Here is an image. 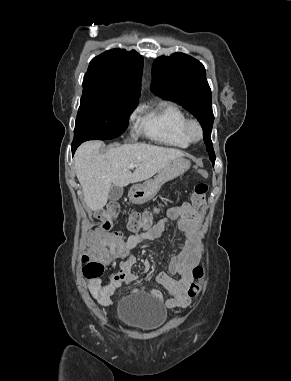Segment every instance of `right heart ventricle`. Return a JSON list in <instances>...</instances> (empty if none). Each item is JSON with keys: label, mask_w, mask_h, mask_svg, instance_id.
Returning a JSON list of instances; mask_svg holds the SVG:
<instances>
[{"label": "right heart ventricle", "mask_w": 291, "mask_h": 381, "mask_svg": "<svg viewBox=\"0 0 291 381\" xmlns=\"http://www.w3.org/2000/svg\"><path fill=\"white\" fill-rule=\"evenodd\" d=\"M140 130L151 139L171 147L187 148L192 140L186 132L189 120L180 106L162 102L152 108H142Z\"/></svg>", "instance_id": "obj_1"}]
</instances>
